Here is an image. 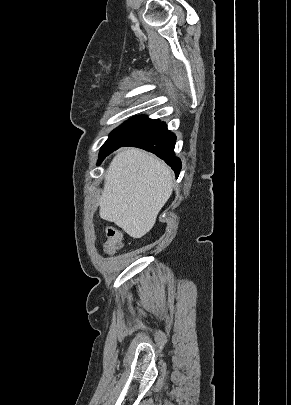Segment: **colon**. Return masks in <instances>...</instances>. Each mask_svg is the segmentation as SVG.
<instances>
[{"instance_id": "colon-1", "label": "colon", "mask_w": 291, "mask_h": 405, "mask_svg": "<svg viewBox=\"0 0 291 405\" xmlns=\"http://www.w3.org/2000/svg\"><path fill=\"white\" fill-rule=\"evenodd\" d=\"M123 246V234L114 227L107 229V240L104 245V250L107 254L113 255L118 252Z\"/></svg>"}]
</instances>
